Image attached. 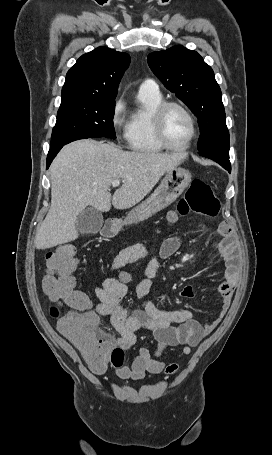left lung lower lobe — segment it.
I'll use <instances>...</instances> for the list:
<instances>
[{"label": "left lung lower lobe", "mask_w": 272, "mask_h": 455, "mask_svg": "<svg viewBox=\"0 0 272 455\" xmlns=\"http://www.w3.org/2000/svg\"><path fill=\"white\" fill-rule=\"evenodd\" d=\"M201 156L207 157L219 163L228 172L231 171V165L229 161V145H224L210 150L200 152Z\"/></svg>", "instance_id": "0a47b994"}]
</instances>
